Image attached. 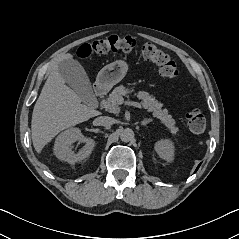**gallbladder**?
<instances>
[{
	"label": "gallbladder",
	"instance_id": "bac80fb5",
	"mask_svg": "<svg viewBox=\"0 0 239 239\" xmlns=\"http://www.w3.org/2000/svg\"><path fill=\"white\" fill-rule=\"evenodd\" d=\"M58 70L65 82L85 103L95 100L89 78L82 65L74 59H64L58 63Z\"/></svg>",
	"mask_w": 239,
	"mask_h": 239
}]
</instances>
